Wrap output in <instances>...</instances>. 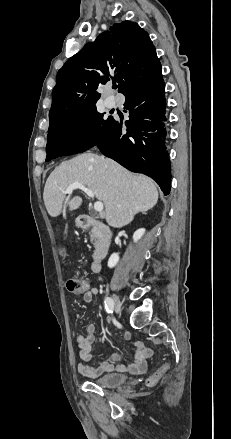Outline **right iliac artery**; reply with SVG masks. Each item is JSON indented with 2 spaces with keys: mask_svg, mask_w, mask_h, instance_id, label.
<instances>
[{
  "mask_svg": "<svg viewBox=\"0 0 231 439\" xmlns=\"http://www.w3.org/2000/svg\"><path fill=\"white\" fill-rule=\"evenodd\" d=\"M104 303H105V309L107 310V312L111 313L113 308H114V302H113L112 298L106 297Z\"/></svg>",
  "mask_w": 231,
  "mask_h": 439,
  "instance_id": "82829eb1",
  "label": "right iliac artery"
}]
</instances>
